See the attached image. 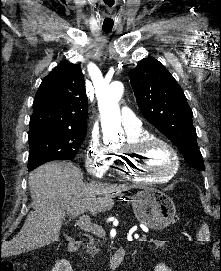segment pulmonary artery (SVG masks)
<instances>
[{
  "mask_svg": "<svg viewBox=\"0 0 221 271\" xmlns=\"http://www.w3.org/2000/svg\"><path fill=\"white\" fill-rule=\"evenodd\" d=\"M122 122H120V127H140L139 117H136V112H129V107L121 108ZM140 128H127V133H140Z\"/></svg>",
  "mask_w": 221,
  "mask_h": 271,
  "instance_id": "pulmonary-artery-1",
  "label": "pulmonary artery"
}]
</instances>
